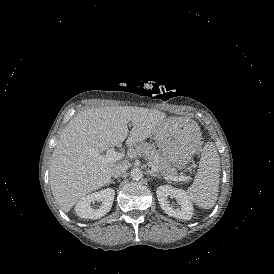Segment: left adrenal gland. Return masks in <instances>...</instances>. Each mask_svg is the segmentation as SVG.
Instances as JSON below:
<instances>
[{"mask_svg":"<svg viewBox=\"0 0 274 274\" xmlns=\"http://www.w3.org/2000/svg\"><path fill=\"white\" fill-rule=\"evenodd\" d=\"M146 173L149 174L151 177H156V178H158L159 180L162 179V177H161L160 175L154 173V172H153L152 170H150V169H149Z\"/></svg>","mask_w":274,"mask_h":274,"instance_id":"1","label":"left adrenal gland"}]
</instances>
